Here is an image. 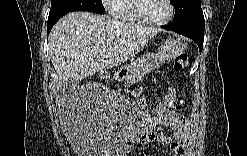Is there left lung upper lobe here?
Instances as JSON below:
<instances>
[{
  "mask_svg": "<svg viewBox=\"0 0 247 156\" xmlns=\"http://www.w3.org/2000/svg\"><path fill=\"white\" fill-rule=\"evenodd\" d=\"M172 3L175 7L173 22H181L201 9L200 0H175Z\"/></svg>",
  "mask_w": 247,
  "mask_h": 156,
  "instance_id": "5c2ea615",
  "label": "left lung upper lobe"
}]
</instances>
